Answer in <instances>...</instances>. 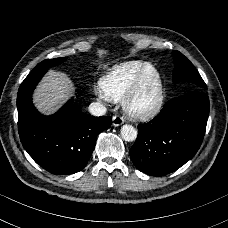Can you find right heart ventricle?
I'll use <instances>...</instances> for the list:
<instances>
[{
	"mask_svg": "<svg viewBox=\"0 0 228 228\" xmlns=\"http://www.w3.org/2000/svg\"><path fill=\"white\" fill-rule=\"evenodd\" d=\"M150 65L141 60L124 61L113 65L100 80V94L106 100L121 101L130 91L139 74Z\"/></svg>",
	"mask_w": 228,
	"mask_h": 228,
	"instance_id": "obj_1",
	"label": "right heart ventricle"
}]
</instances>
